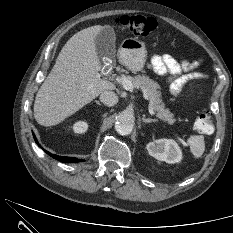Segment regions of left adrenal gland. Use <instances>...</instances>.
Wrapping results in <instances>:
<instances>
[{
	"label": "left adrenal gland",
	"mask_w": 233,
	"mask_h": 233,
	"mask_svg": "<svg viewBox=\"0 0 233 233\" xmlns=\"http://www.w3.org/2000/svg\"><path fill=\"white\" fill-rule=\"evenodd\" d=\"M142 121H143V123H145V124L157 122L156 119L145 118V116L142 118Z\"/></svg>",
	"instance_id": "left-adrenal-gland-1"
}]
</instances>
